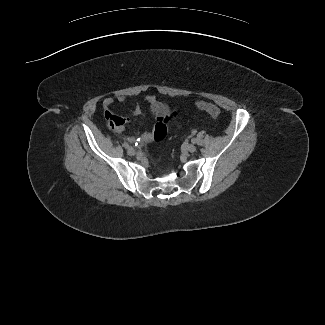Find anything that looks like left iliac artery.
Instances as JSON below:
<instances>
[{"label": "left iliac artery", "instance_id": "1", "mask_svg": "<svg viewBox=\"0 0 325 325\" xmlns=\"http://www.w3.org/2000/svg\"><path fill=\"white\" fill-rule=\"evenodd\" d=\"M191 142L195 144V143H196V139L193 138V139L191 140Z\"/></svg>", "mask_w": 325, "mask_h": 325}]
</instances>
